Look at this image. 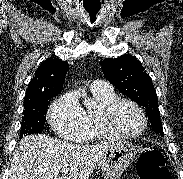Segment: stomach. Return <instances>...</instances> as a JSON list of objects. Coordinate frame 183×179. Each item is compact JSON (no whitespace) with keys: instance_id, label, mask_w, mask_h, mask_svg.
Segmentation results:
<instances>
[{"instance_id":"1","label":"stomach","mask_w":183,"mask_h":179,"mask_svg":"<svg viewBox=\"0 0 183 179\" xmlns=\"http://www.w3.org/2000/svg\"><path fill=\"white\" fill-rule=\"evenodd\" d=\"M136 154V149L128 141L114 142L103 154L99 166L106 179H118L128 168Z\"/></svg>"}]
</instances>
